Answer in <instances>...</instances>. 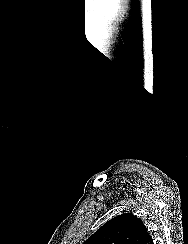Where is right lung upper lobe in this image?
<instances>
[{"mask_svg":"<svg viewBox=\"0 0 188 244\" xmlns=\"http://www.w3.org/2000/svg\"><path fill=\"white\" fill-rule=\"evenodd\" d=\"M83 244H153V240L137 216L124 213L106 222Z\"/></svg>","mask_w":188,"mask_h":244,"instance_id":"cb5924a9","label":"right lung upper lobe"}]
</instances>
